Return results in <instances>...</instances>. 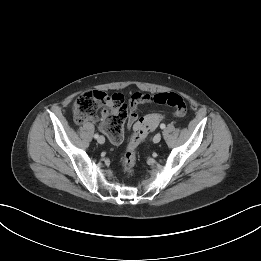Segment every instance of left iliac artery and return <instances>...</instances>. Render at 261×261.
<instances>
[{"label": "left iliac artery", "instance_id": "1", "mask_svg": "<svg viewBox=\"0 0 261 261\" xmlns=\"http://www.w3.org/2000/svg\"><path fill=\"white\" fill-rule=\"evenodd\" d=\"M160 128H161V129H164V128H165V124H161V125H160Z\"/></svg>", "mask_w": 261, "mask_h": 261}]
</instances>
